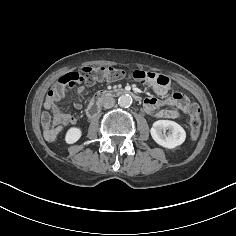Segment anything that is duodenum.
Segmentation results:
<instances>
[{
  "mask_svg": "<svg viewBox=\"0 0 236 236\" xmlns=\"http://www.w3.org/2000/svg\"><path fill=\"white\" fill-rule=\"evenodd\" d=\"M125 94H129L130 96H132L136 101L140 100V96L134 92H132L129 88H116V89H105L102 90L100 92H98L93 99L91 100L88 108H87V116L89 118L93 117L94 115H96L99 111L100 108V104L101 102L107 98V97H111V96H121V95H125Z\"/></svg>",
  "mask_w": 236,
  "mask_h": 236,
  "instance_id": "duodenum-1",
  "label": "duodenum"
}]
</instances>
